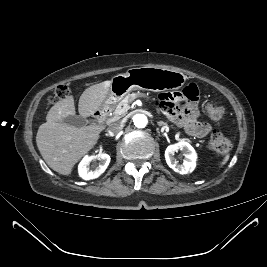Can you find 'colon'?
Returning <instances> with one entry per match:
<instances>
[{
    "mask_svg": "<svg viewBox=\"0 0 267 267\" xmlns=\"http://www.w3.org/2000/svg\"><path fill=\"white\" fill-rule=\"evenodd\" d=\"M69 89L65 85L56 88L51 102L54 103L59 99L67 96ZM204 111L213 122H220L224 116V108L217 103L208 102L204 105ZM232 143L229 138L224 136L219 130H214L210 136L209 148L218 154H225L231 149Z\"/></svg>",
    "mask_w": 267,
    "mask_h": 267,
    "instance_id": "5ec220e1",
    "label": "colon"
}]
</instances>
